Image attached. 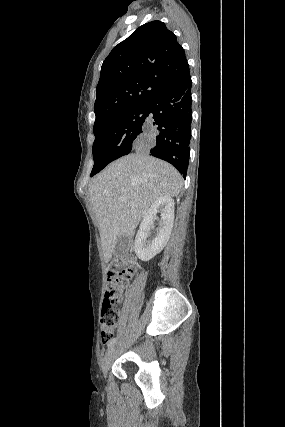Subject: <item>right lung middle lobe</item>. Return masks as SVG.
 <instances>
[{
  "instance_id": "right-lung-middle-lobe-1",
  "label": "right lung middle lobe",
  "mask_w": 285,
  "mask_h": 427,
  "mask_svg": "<svg viewBox=\"0 0 285 427\" xmlns=\"http://www.w3.org/2000/svg\"><path fill=\"white\" fill-rule=\"evenodd\" d=\"M147 113L148 103H144L123 110L93 128L94 167L91 177L139 145Z\"/></svg>"
}]
</instances>
